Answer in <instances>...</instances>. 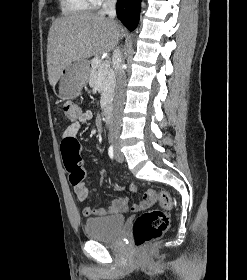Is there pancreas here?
<instances>
[{
    "mask_svg": "<svg viewBox=\"0 0 247 280\" xmlns=\"http://www.w3.org/2000/svg\"><path fill=\"white\" fill-rule=\"evenodd\" d=\"M89 84L92 87H98V80L101 79V108H104L113 96V91L115 87V77L113 70L108 67L106 70H100V65L102 61L99 58L92 59Z\"/></svg>",
    "mask_w": 247,
    "mask_h": 280,
    "instance_id": "cf45deb5",
    "label": "pancreas"
}]
</instances>
